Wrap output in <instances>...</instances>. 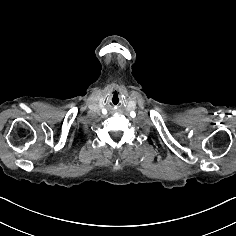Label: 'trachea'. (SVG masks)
Instances as JSON below:
<instances>
[{
  "mask_svg": "<svg viewBox=\"0 0 236 236\" xmlns=\"http://www.w3.org/2000/svg\"><path fill=\"white\" fill-rule=\"evenodd\" d=\"M120 96V93L116 91L109 97V106L111 108H118L121 105Z\"/></svg>",
  "mask_w": 236,
  "mask_h": 236,
  "instance_id": "obj_1",
  "label": "trachea"
}]
</instances>
